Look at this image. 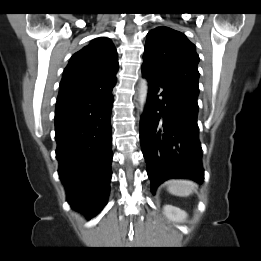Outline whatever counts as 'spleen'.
<instances>
[{
	"label": "spleen",
	"instance_id": "3e777b00",
	"mask_svg": "<svg viewBox=\"0 0 261 261\" xmlns=\"http://www.w3.org/2000/svg\"><path fill=\"white\" fill-rule=\"evenodd\" d=\"M167 190L176 196L186 197L196 191L197 185L190 181L184 179H173L169 180L167 183Z\"/></svg>",
	"mask_w": 261,
	"mask_h": 261
}]
</instances>
